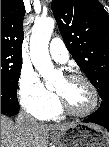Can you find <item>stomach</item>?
I'll list each match as a JSON object with an SVG mask.
<instances>
[{"label":"stomach","instance_id":"1","mask_svg":"<svg viewBox=\"0 0 109 147\" xmlns=\"http://www.w3.org/2000/svg\"><path fill=\"white\" fill-rule=\"evenodd\" d=\"M52 137L59 147H109V133L91 124H72L52 132Z\"/></svg>","mask_w":109,"mask_h":147}]
</instances>
